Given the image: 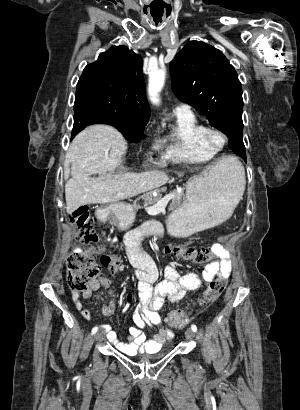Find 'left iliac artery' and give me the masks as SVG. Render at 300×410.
Wrapping results in <instances>:
<instances>
[{
    "label": "left iliac artery",
    "instance_id": "left-iliac-artery-1",
    "mask_svg": "<svg viewBox=\"0 0 300 410\" xmlns=\"http://www.w3.org/2000/svg\"><path fill=\"white\" fill-rule=\"evenodd\" d=\"M191 329H192L194 332H196V331H197L196 325L193 324V325L191 326Z\"/></svg>",
    "mask_w": 300,
    "mask_h": 410
}]
</instances>
